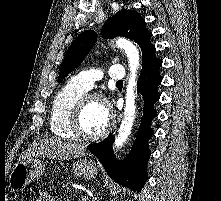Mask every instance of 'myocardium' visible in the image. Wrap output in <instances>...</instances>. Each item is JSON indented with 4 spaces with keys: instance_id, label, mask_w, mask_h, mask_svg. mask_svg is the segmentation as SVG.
<instances>
[{
    "instance_id": "myocardium-1",
    "label": "myocardium",
    "mask_w": 221,
    "mask_h": 201,
    "mask_svg": "<svg viewBox=\"0 0 221 201\" xmlns=\"http://www.w3.org/2000/svg\"><path fill=\"white\" fill-rule=\"evenodd\" d=\"M91 101H99L104 104L106 107V110L109 114V122L108 125L104 130H102L100 133L96 135H87L83 132L82 127H81V119L83 112L88 105L89 102ZM115 124V117L113 114L112 106L110 101L108 100L107 97H105L102 94L98 93H85L76 103L72 116H71V131L74 134L75 138L87 142H93L102 139L105 137L114 127Z\"/></svg>"
}]
</instances>
